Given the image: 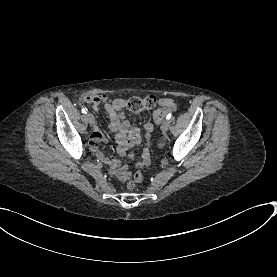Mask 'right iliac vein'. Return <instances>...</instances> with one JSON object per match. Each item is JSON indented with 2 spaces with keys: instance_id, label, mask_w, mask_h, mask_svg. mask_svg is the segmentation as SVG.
I'll return each mask as SVG.
<instances>
[{
  "instance_id": "63e3f726",
  "label": "right iliac vein",
  "mask_w": 277,
  "mask_h": 277,
  "mask_svg": "<svg viewBox=\"0 0 277 277\" xmlns=\"http://www.w3.org/2000/svg\"><path fill=\"white\" fill-rule=\"evenodd\" d=\"M86 117H87V120H88L89 124H90L91 126H93L94 123H95V117H94V115H93L92 113H88V114L86 115Z\"/></svg>"
}]
</instances>
